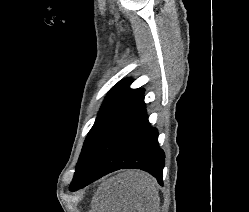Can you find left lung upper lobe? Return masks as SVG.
Here are the masks:
<instances>
[{"mask_svg":"<svg viewBox=\"0 0 249 212\" xmlns=\"http://www.w3.org/2000/svg\"><path fill=\"white\" fill-rule=\"evenodd\" d=\"M131 82L130 78L122 80L107 94L96 121L84 141L73 180L80 176L108 130L144 94V89H130Z\"/></svg>","mask_w":249,"mask_h":212,"instance_id":"obj_1","label":"left lung upper lobe"}]
</instances>
